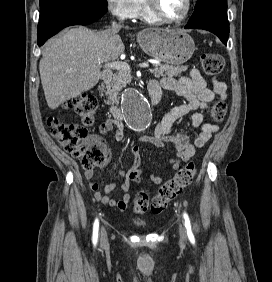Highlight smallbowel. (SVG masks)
Segmentation results:
<instances>
[{
	"instance_id": "obj_1",
	"label": "small bowel",
	"mask_w": 272,
	"mask_h": 282,
	"mask_svg": "<svg viewBox=\"0 0 272 282\" xmlns=\"http://www.w3.org/2000/svg\"><path fill=\"white\" fill-rule=\"evenodd\" d=\"M159 84L162 89L175 92L186 101L175 106L169 113L162 117L157 122L151 135L142 136L139 140L152 143L158 147H164L167 143L174 144L177 149V155L170 160V164L172 168L178 169L183 161H187L193 157L196 148L205 146L211 138L212 133L218 129V125L205 122L203 115L195 110L206 109L215 98L225 100L227 98V85L222 81L213 79L212 88H209L206 80L199 71L195 69L191 72L189 77H181L180 79L165 77L161 79ZM191 111H193L191 114L192 125L201 129L200 135L194 140H191L182 132L172 130L173 121ZM112 130H114V137L117 141L124 139V125L122 122L108 119L100 127L102 134H107ZM88 140L89 142H99L103 145L105 160L101 168H105L112 159V149L105 143L101 135H90ZM131 150L134 157L133 165L134 167H139L141 164L139 146L133 145ZM131 173V171H119L120 176L124 179L120 185L123 194L119 198L109 196V194L116 189L115 184H108L105 186L104 192L100 191L99 185L92 182L94 176L93 170H85L84 177L89 181L90 188L97 200L123 212L127 209L131 198L128 193ZM150 180L154 184H161L163 182V178L155 174L150 176Z\"/></svg>"
}]
</instances>
